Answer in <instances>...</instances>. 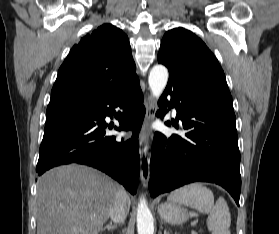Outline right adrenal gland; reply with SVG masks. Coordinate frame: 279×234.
Wrapping results in <instances>:
<instances>
[{"label":"right adrenal gland","mask_w":279,"mask_h":234,"mask_svg":"<svg viewBox=\"0 0 279 234\" xmlns=\"http://www.w3.org/2000/svg\"><path fill=\"white\" fill-rule=\"evenodd\" d=\"M116 228H117V224L112 225V223H110L109 225H106L104 228H102V231L105 229H107L108 231H112Z\"/></svg>","instance_id":"obj_1"}]
</instances>
